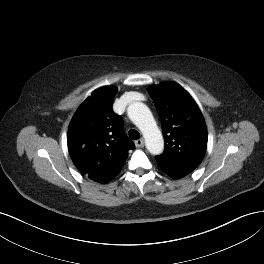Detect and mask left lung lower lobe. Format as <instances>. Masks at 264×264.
<instances>
[{"label": "left lung lower lobe", "instance_id": "obj_1", "mask_svg": "<svg viewBox=\"0 0 264 264\" xmlns=\"http://www.w3.org/2000/svg\"><path fill=\"white\" fill-rule=\"evenodd\" d=\"M159 166L168 176H170L173 179H179L191 173V171L184 170V169L169 168V167H164L161 165Z\"/></svg>", "mask_w": 264, "mask_h": 264}]
</instances>
